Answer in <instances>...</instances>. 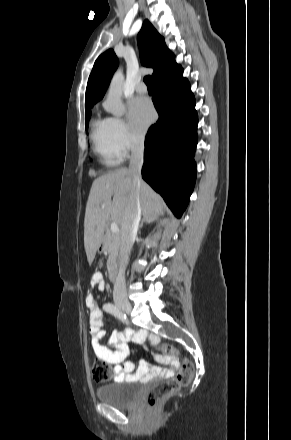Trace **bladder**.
<instances>
[{"instance_id": "bladder-1", "label": "bladder", "mask_w": 291, "mask_h": 440, "mask_svg": "<svg viewBox=\"0 0 291 440\" xmlns=\"http://www.w3.org/2000/svg\"><path fill=\"white\" fill-rule=\"evenodd\" d=\"M95 395L100 401L128 408L140 397L141 387L137 381L123 379L97 388Z\"/></svg>"}]
</instances>
